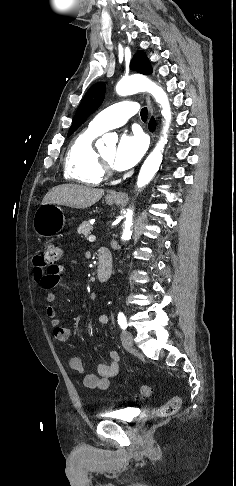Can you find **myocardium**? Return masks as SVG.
<instances>
[{
  "mask_svg": "<svg viewBox=\"0 0 236 486\" xmlns=\"http://www.w3.org/2000/svg\"><path fill=\"white\" fill-rule=\"evenodd\" d=\"M97 158H98V162H99L101 171L103 173V176H105V177L112 176L114 174L112 164L106 162L99 153H97Z\"/></svg>",
  "mask_w": 236,
  "mask_h": 486,
  "instance_id": "1",
  "label": "myocardium"
}]
</instances>
